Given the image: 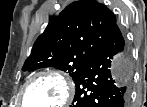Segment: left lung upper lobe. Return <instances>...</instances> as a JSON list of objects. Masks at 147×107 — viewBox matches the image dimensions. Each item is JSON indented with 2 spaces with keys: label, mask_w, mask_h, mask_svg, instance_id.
<instances>
[{
  "label": "left lung upper lobe",
  "mask_w": 147,
  "mask_h": 107,
  "mask_svg": "<svg viewBox=\"0 0 147 107\" xmlns=\"http://www.w3.org/2000/svg\"><path fill=\"white\" fill-rule=\"evenodd\" d=\"M111 10L95 0H80L49 19L22 70L55 67L75 81L116 25Z\"/></svg>",
  "instance_id": "1"
}]
</instances>
